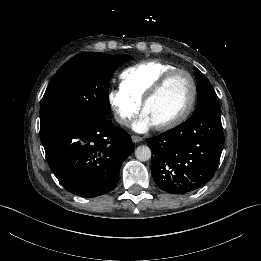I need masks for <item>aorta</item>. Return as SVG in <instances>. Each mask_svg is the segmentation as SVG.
I'll return each instance as SVG.
<instances>
[{
    "label": "aorta",
    "mask_w": 261,
    "mask_h": 261,
    "mask_svg": "<svg viewBox=\"0 0 261 261\" xmlns=\"http://www.w3.org/2000/svg\"><path fill=\"white\" fill-rule=\"evenodd\" d=\"M135 157L141 162L148 161L151 158V150L146 145L138 146L135 150Z\"/></svg>",
    "instance_id": "1"
}]
</instances>
